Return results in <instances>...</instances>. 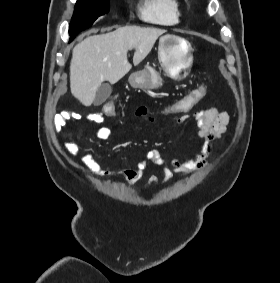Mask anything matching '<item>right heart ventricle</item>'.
I'll return each instance as SVG.
<instances>
[{
  "instance_id": "obj_1",
  "label": "right heart ventricle",
  "mask_w": 280,
  "mask_h": 283,
  "mask_svg": "<svg viewBox=\"0 0 280 283\" xmlns=\"http://www.w3.org/2000/svg\"><path fill=\"white\" fill-rule=\"evenodd\" d=\"M138 12L144 20L162 25H174L181 17V3L179 0H142Z\"/></svg>"
}]
</instances>
